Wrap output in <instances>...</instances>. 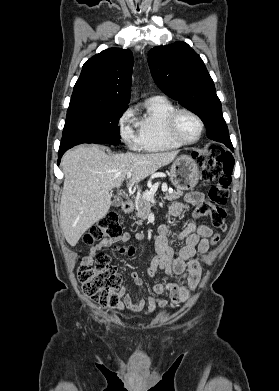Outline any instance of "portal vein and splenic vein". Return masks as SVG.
<instances>
[{
	"label": "portal vein and splenic vein",
	"instance_id": "portal-vein-and-splenic-vein-1",
	"mask_svg": "<svg viewBox=\"0 0 279 391\" xmlns=\"http://www.w3.org/2000/svg\"><path fill=\"white\" fill-rule=\"evenodd\" d=\"M127 178L130 179L131 178V173H128L127 174ZM158 186H159V183H156L154 184V186L151 188L150 191H147L143 194V198L149 202H152L154 203L155 202V199H154V194L156 193L157 189H158ZM162 191L163 192H166L167 191V187L166 186H163L162 187Z\"/></svg>",
	"mask_w": 279,
	"mask_h": 391
}]
</instances>
